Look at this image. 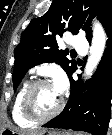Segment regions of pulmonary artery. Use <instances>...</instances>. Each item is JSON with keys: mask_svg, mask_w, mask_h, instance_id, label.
I'll return each instance as SVG.
<instances>
[{"mask_svg": "<svg viewBox=\"0 0 112 135\" xmlns=\"http://www.w3.org/2000/svg\"><path fill=\"white\" fill-rule=\"evenodd\" d=\"M71 45L80 54H86L87 53L88 42H87V40L84 37H82V36H75L72 39Z\"/></svg>", "mask_w": 112, "mask_h": 135, "instance_id": "obj_1", "label": "pulmonary artery"}]
</instances>
